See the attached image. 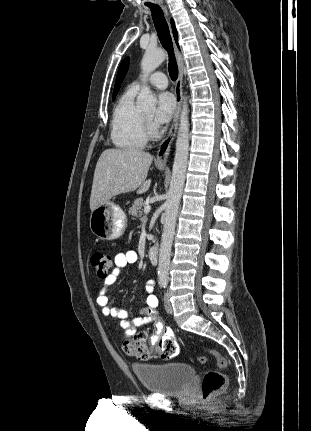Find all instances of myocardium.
I'll list each match as a JSON object with an SVG mask.
<instances>
[{"label":"myocardium","instance_id":"myocardium-1","mask_svg":"<svg viewBox=\"0 0 311 431\" xmlns=\"http://www.w3.org/2000/svg\"><path fill=\"white\" fill-rule=\"evenodd\" d=\"M144 131L146 140H155L157 138V132L152 123V120L143 115Z\"/></svg>","mask_w":311,"mask_h":431}]
</instances>
